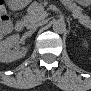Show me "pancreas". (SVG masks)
I'll return each instance as SVG.
<instances>
[{
	"instance_id": "pancreas-1",
	"label": "pancreas",
	"mask_w": 91,
	"mask_h": 91,
	"mask_svg": "<svg viewBox=\"0 0 91 91\" xmlns=\"http://www.w3.org/2000/svg\"><path fill=\"white\" fill-rule=\"evenodd\" d=\"M67 8L73 13L74 18H78L79 22L86 27L91 25L90 18L82 14V9L75 3L66 2ZM27 15L24 17L25 24L37 22L44 17V8L41 4L32 3L27 9Z\"/></svg>"
}]
</instances>
